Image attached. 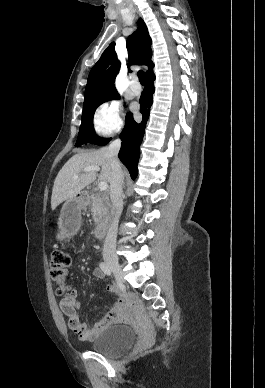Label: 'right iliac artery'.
Wrapping results in <instances>:
<instances>
[{"label":"right iliac artery","instance_id":"obj_1","mask_svg":"<svg viewBox=\"0 0 265 388\" xmlns=\"http://www.w3.org/2000/svg\"><path fill=\"white\" fill-rule=\"evenodd\" d=\"M99 266H100L101 270H102L106 275L111 276V274H112L111 269L109 268V266H108L106 263L101 262Z\"/></svg>","mask_w":265,"mask_h":388}]
</instances>
